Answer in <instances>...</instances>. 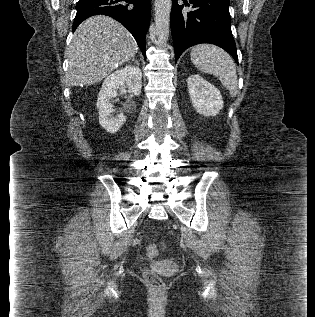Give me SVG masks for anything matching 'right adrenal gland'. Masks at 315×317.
I'll return each instance as SVG.
<instances>
[{
  "mask_svg": "<svg viewBox=\"0 0 315 317\" xmlns=\"http://www.w3.org/2000/svg\"><path fill=\"white\" fill-rule=\"evenodd\" d=\"M127 61H133L137 66H139V63L135 60L134 56L128 58Z\"/></svg>",
  "mask_w": 315,
  "mask_h": 317,
  "instance_id": "1",
  "label": "right adrenal gland"
}]
</instances>
